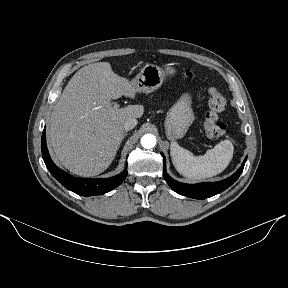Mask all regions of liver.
Returning a JSON list of instances; mask_svg holds the SVG:
<instances>
[{
    "instance_id": "1",
    "label": "liver",
    "mask_w": 288,
    "mask_h": 288,
    "mask_svg": "<svg viewBox=\"0 0 288 288\" xmlns=\"http://www.w3.org/2000/svg\"><path fill=\"white\" fill-rule=\"evenodd\" d=\"M127 78L108 62L84 66L70 79L55 105L48 138L56 158L74 174L90 177L105 171L114 160L127 119L140 118L144 107H112L122 95L136 97Z\"/></svg>"
}]
</instances>
